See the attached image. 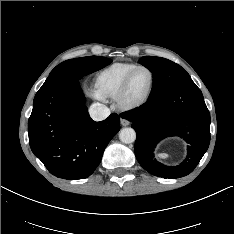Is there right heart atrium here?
I'll list each match as a JSON object with an SVG mask.
<instances>
[{
    "label": "right heart atrium",
    "mask_w": 234,
    "mask_h": 234,
    "mask_svg": "<svg viewBox=\"0 0 234 234\" xmlns=\"http://www.w3.org/2000/svg\"><path fill=\"white\" fill-rule=\"evenodd\" d=\"M89 95L95 99H103L97 92L96 89H90L89 90Z\"/></svg>",
    "instance_id": "d8ad5b80"
}]
</instances>
